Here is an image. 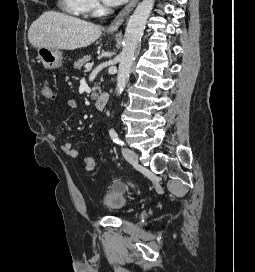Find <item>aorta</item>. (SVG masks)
<instances>
[{"instance_id": "obj_1", "label": "aorta", "mask_w": 255, "mask_h": 272, "mask_svg": "<svg viewBox=\"0 0 255 272\" xmlns=\"http://www.w3.org/2000/svg\"><path fill=\"white\" fill-rule=\"evenodd\" d=\"M154 0H143L138 4L130 16L125 29L123 49L119 55V67L117 74V95L124 91L135 60L136 51L141 42L143 32L153 9Z\"/></svg>"}]
</instances>
